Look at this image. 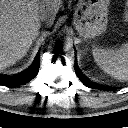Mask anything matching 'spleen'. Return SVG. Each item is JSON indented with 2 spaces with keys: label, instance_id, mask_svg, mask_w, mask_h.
Wrapping results in <instances>:
<instances>
[{
  "label": "spleen",
  "instance_id": "1",
  "mask_svg": "<svg viewBox=\"0 0 128 128\" xmlns=\"http://www.w3.org/2000/svg\"><path fill=\"white\" fill-rule=\"evenodd\" d=\"M97 65L107 74L120 81H128V43L121 49H98L92 50Z\"/></svg>",
  "mask_w": 128,
  "mask_h": 128
}]
</instances>
